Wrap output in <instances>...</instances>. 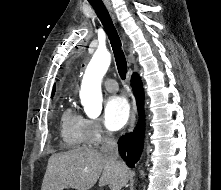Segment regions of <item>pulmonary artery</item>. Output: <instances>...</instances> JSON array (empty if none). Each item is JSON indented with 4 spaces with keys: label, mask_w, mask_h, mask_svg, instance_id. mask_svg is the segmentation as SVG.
<instances>
[{
    "label": "pulmonary artery",
    "mask_w": 221,
    "mask_h": 190,
    "mask_svg": "<svg viewBox=\"0 0 221 190\" xmlns=\"http://www.w3.org/2000/svg\"><path fill=\"white\" fill-rule=\"evenodd\" d=\"M104 86L109 92H116L118 90V84L114 79L105 80Z\"/></svg>",
    "instance_id": "e3ab8cb5"
}]
</instances>
